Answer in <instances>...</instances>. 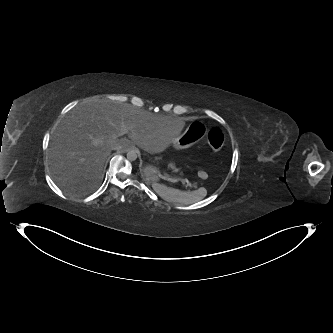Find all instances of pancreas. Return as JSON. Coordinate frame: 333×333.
Listing matches in <instances>:
<instances>
[{
	"mask_svg": "<svg viewBox=\"0 0 333 333\" xmlns=\"http://www.w3.org/2000/svg\"><path fill=\"white\" fill-rule=\"evenodd\" d=\"M168 168H169V169H172L173 172H178V169L176 168L174 162H170V163L168 164Z\"/></svg>",
	"mask_w": 333,
	"mask_h": 333,
	"instance_id": "pancreas-1",
	"label": "pancreas"
}]
</instances>
